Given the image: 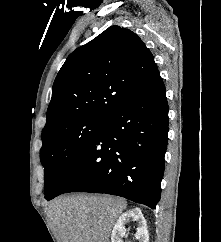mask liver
I'll list each match as a JSON object with an SVG mask.
<instances>
[{
    "mask_svg": "<svg viewBox=\"0 0 221 242\" xmlns=\"http://www.w3.org/2000/svg\"><path fill=\"white\" fill-rule=\"evenodd\" d=\"M126 207L119 197L80 194L53 200L48 214L58 242H109L111 229Z\"/></svg>",
    "mask_w": 221,
    "mask_h": 242,
    "instance_id": "obj_1",
    "label": "liver"
}]
</instances>
